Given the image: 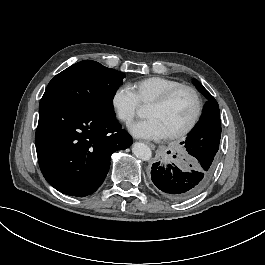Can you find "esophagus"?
I'll return each mask as SVG.
<instances>
[{
	"label": "esophagus",
	"instance_id": "1",
	"mask_svg": "<svg viewBox=\"0 0 265 265\" xmlns=\"http://www.w3.org/2000/svg\"><path fill=\"white\" fill-rule=\"evenodd\" d=\"M146 145H148L152 150L156 149V146L153 143L147 142V141H143Z\"/></svg>",
	"mask_w": 265,
	"mask_h": 265
}]
</instances>
